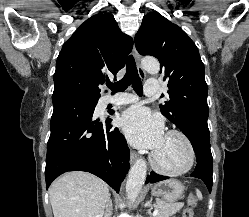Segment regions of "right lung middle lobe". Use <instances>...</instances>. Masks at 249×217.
Listing matches in <instances>:
<instances>
[{"instance_id": "right-lung-middle-lobe-1", "label": "right lung middle lobe", "mask_w": 249, "mask_h": 217, "mask_svg": "<svg viewBox=\"0 0 249 217\" xmlns=\"http://www.w3.org/2000/svg\"><path fill=\"white\" fill-rule=\"evenodd\" d=\"M67 93L75 95V96L83 98V99H86L92 103L96 102L99 99V97L88 96V95H84V94L76 93V92H67Z\"/></svg>"}]
</instances>
